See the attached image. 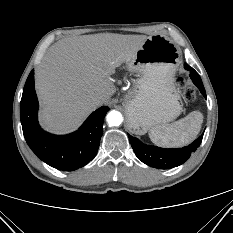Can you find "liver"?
I'll return each instance as SVG.
<instances>
[{
	"instance_id": "1",
	"label": "liver",
	"mask_w": 233,
	"mask_h": 233,
	"mask_svg": "<svg viewBox=\"0 0 233 233\" xmlns=\"http://www.w3.org/2000/svg\"><path fill=\"white\" fill-rule=\"evenodd\" d=\"M148 37L101 33L65 38L53 44L35 69L39 120L53 133L76 129L107 103L116 88L115 69L132 59ZM102 95L96 100V95Z\"/></svg>"
}]
</instances>
